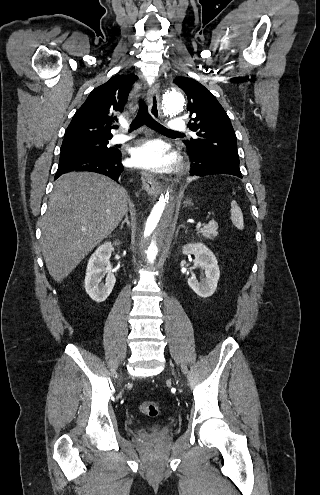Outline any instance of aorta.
I'll list each match as a JSON object with an SVG mask.
<instances>
[{
	"label": "aorta",
	"mask_w": 320,
	"mask_h": 495,
	"mask_svg": "<svg viewBox=\"0 0 320 495\" xmlns=\"http://www.w3.org/2000/svg\"><path fill=\"white\" fill-rule=\"evenodd\" d=\"M184 105V98L179 89H169L163 95V110L170 116L178 114ZM174 218V204L169 192L162 194L154 205L142 226V253L153 264L162 243L171 231Z\"/></svg>",
	"instance_id": "1"
}]
</instances>
